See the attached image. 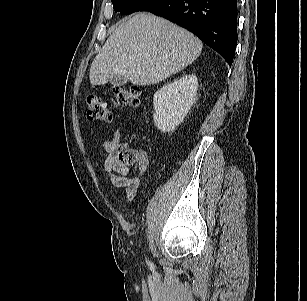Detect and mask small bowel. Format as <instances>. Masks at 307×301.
Instances as JSON below:
<instances>
[{"label":"small bowel","mask_w":307,"mask_h":301,"mask_svg":"<svg viewBox=\"0 0 307 301\" xmlns=\"http://www.w3.org/2000/svg\"><path fill=\"white\" fill-rule=\"evenodd\" d=\"M121 140V126H117L113 132L103 141V148L108 153L104 163V169L108 173L111 183L124 190L125 200H131L139 187V177L130 176V168L120 161L118 146ZM149 166L147 155L142 152L139 160L140 176L146 175ZM116 172V173H113Z\"/></svg>","instance_id":"small-bowel-1"}]
</instances>
